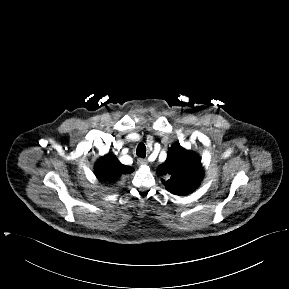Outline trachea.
<instances>
[{"instance_id":"3493384b","label":"trachea","mask_w":289,"mask_h":289,"mask_svg":"<svg viewBox=\"0 0 289 289\" xmlns=\"http://www.w3.org/2000/svg\"><path fill=\"white\" fill-rule=\"evenodd\" d=\"M137 156L145 158L146 156V146L143 143H140L136 149Z\"/></svg>"}]
</instances>
